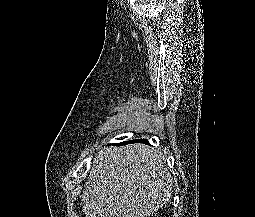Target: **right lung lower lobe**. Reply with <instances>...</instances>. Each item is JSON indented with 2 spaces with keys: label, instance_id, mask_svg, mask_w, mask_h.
I'll return each instance as SVG.
<instances>
[{
  "label": "right lung lower lobe",
  "instance_id": "obj_1",
  "mask_svg": "<svg viewBox=\"0 0 255 217\" xmlns=\"http://www.w3.org/2000/svg\"><path fill=\"white\" fill-rule=\"evenodd\" d=\"M136 142L144 143V144L148 143V141L146 139H139V140L126 141V142H122V143H116L115 145H123V144L136 143Z\"/></svg>",
  "mask_w": 255,
  "mask_h": 217
}]
</instances>
